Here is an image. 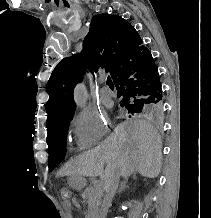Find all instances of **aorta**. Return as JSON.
<instances>
[{
	"label": "aorta",
	"mask_w": 211,
	"mask_h": 218,
	"mask_svg": "<svg viewBox=\"0 0 211 218\" xmlns=\"http://www.w3.org/2000/svg\"><path fill=\"white\" fill-rule=\"evenodd\" d=\"M75 101L79 107L85 106L87 102V93L83 86H78L75 90Z\"/></svg>",
	"instance_id": "762f6f07"
}]
</instances>
